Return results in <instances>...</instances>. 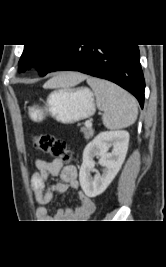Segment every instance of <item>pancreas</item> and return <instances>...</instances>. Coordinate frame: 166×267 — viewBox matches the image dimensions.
<instances>
[{"mask_svg": "<svg viewBox=\"0 0 166 267\" xmlns=\"http://www.w3.org/2000/svg\"><path fill=\"white\" fill-rule=\"evenodd\" d=\"M81 132H83L84 137H85L86 140H89L94 134V130L92 128L82 127L81 128Z\"/></svg>", "mask_w": 166, "mask_h": 267, "instance_id": "obj_1", "label": "pancreas"}]
</instances>
